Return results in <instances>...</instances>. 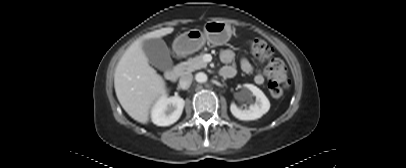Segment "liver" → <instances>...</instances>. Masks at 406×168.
I'll return each instance as SVG.
<instances>
[{
	"label": "liver",
	"mask_w": 406,
	"mask_h": 168,
	"mask_svg": "<svg viewBox=\"0 0 406 168\" xmlns=\"http://www.w3.org/2000/svg\"><path fill=\"white\" fill-rule=\"evenodd\" d=\"M173 31L167 27L147 33L128 47L116 66L114 88L118 101L129 116L142 124L148 123L152 105L166 91V83L149 65L142 43Z\"/></svg>",
	"instance_id": "1"
}]
</instances>
